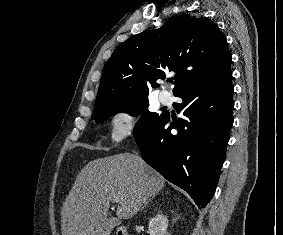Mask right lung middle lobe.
<instances>
[{
	"mask_svg": "<svg viewBox=\"0 0 283 235\" xmlns=\"http://www.w3.org/2000/svg\"><path fill=\"white\" fill-rule=\"evenodd\" d=\"M148 105V96L123 101L104 102L95 105L92 119L102 123L109 116L118 112H127L134 116L143 113L134 128V137H136L150 129L164 115V113L148 111Z\"/></svg>",
	"mask_w": 283,
	"mask_h": 235,
	"instance_id": "right-lung-middle-lobe-1",
	"label": "right lung middle lobe"
}]
</instances>
